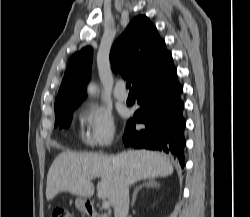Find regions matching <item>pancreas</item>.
Instances as JSON below:
<instances>
[{
  "mask_svg": "<svg viewBox=\"0 0 250 217\" xmlns=\"http://www.w3.org/2000/svg\"><path fill=\"white\" fill-rule=\"evenodd\" d=\"M97 217H108L106 214H99Z\"/></svg>",
  "mask_w": 250,
  "mask_h": 217,
  "instance_id": "1",
  "label": "pancreas"
}]
</instances>
